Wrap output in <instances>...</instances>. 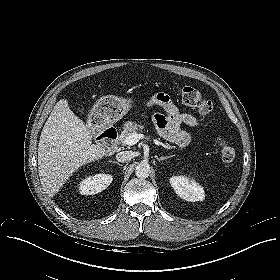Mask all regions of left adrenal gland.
I'll list each match as a JSON object with an SVG mask.
<instances>
[{"label": "left adrenal gland", "instance_id": "a2214340", "mask_svg": "<svg viewBox=\"0 0 280 280\" xmlns=\"http://www.w3.org/2000/svg\"><path fill=\"white\" fill-rule=\"evenodd\" d=\"M174 155H170V156H161V157H157V160L160 162V161H163L165 159H168L170 157H173Z\"/></svg>", "mask_w": 280, "mask_h": 280}]
</instances>
